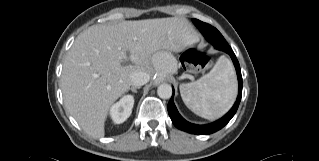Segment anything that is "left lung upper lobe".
Segmentation results:
<instances>
[{
  "mask_svg": "<svg viewBox=\"0 0 319 161\" xmlns=\"http://www.w3.org/2000/svg\"><path fill=\"white\" fill-rule=\"evenodd\" d=\"M193 23L196 25V27H198V29L200 31H202L199 28V25H202L203 27H205V31L209 30L212 34H210L212 36V38H208L205 37L211 44H213V46L219 50H222L223 47L228 46V43L226 42V40L224 39V37L221 35V33L214 28L213 26L201 22L197 19H193Z\"/></svg>",
  "mask_w": 319,
  "mask_h": 161,
  "instance_id": "5c2ea615",
  "label": "left lung upper lobe"
}]
</instances>
